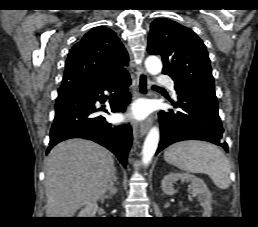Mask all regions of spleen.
Here are the masks:
<instances>
[{"label":"spleen","mask_w":258,"mask_h":227,"mask_svg":"<svg viewBox=\"0 0 258 227\" xmlns=\"http://www.w3.org/2000/svg\"><path fill=\"white\" fill-rule=\"evenodd\" d=\"M164 159L183 171L208 175L222 190L230 185L229 161L213 144L198 140L177 142L165 150Z\"/></svg>","instance_id":"3e777b00"}]
</instances>
